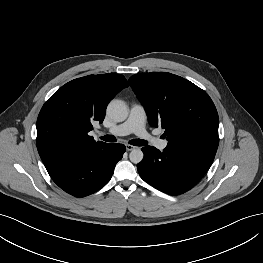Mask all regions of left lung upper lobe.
Instances as JSON below:
<instances>
[{
  "mask_svg": "<svg viewBox=\"0 0 263 263\" xmlns=\"http://www.w3.org/2000/svg\"><path fill=\"white\" fill-rule=\"evenodd\" d=\"M129 82L150 124L165 129L168 145L215 156L219 119L204 90L167 72L135 74Z\"/></svg>",
  "mask_w": 263,
  "mask_h": 263,
  "instance_id": "5c2ea615",
  "label": "left lung upper lobe"
}]
</instances>
